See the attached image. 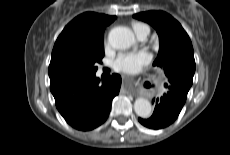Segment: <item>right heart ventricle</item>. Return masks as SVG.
<instances>
[{
    "label": "right heart ventricle",
    "instance_id": "right-heart-ventricle-1",
    "mask_svg": "<svg viewBox=\"0 0 230 155\" xmlns=\"http://www.w3.org/2000/svg\"><path fill=\"white\" fill-rule=\"evenodd\" d=\"M132 27L136 35L140 34L141 32L145 30L149 31V27L146 24L141 23V22H133Z\"/></svg>",
    "mask_w": 230,
    "mask_h": 155
}]
</instances>
